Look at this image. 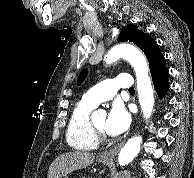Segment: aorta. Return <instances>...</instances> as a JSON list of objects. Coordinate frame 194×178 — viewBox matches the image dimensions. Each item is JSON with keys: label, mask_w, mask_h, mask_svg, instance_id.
Returning a JSON list of instances; mask_svg holds the SVG:
<instances>
[{"label": "aorta", "mask_w": 194, "mask_h": 178, "mask_svg": "<svg viewBox=\"0 0 194 178\" xmlns=\"http://www.w3.org/2000/svg\"><path fill=\"white\" fill-rule=\"evenodd\" d=\"M127 60L134 68L137 79V91L139 103L145 119L150 118L154 107V91L149 77V66L145 56L135 46L130 44H118L106 55L105 62L112 63L118 59ZM142 137L130 138L121 149L118 163L121 166L129 164L139 153Z\"/></svg>", "instance_id": "1"}]
</instances>
